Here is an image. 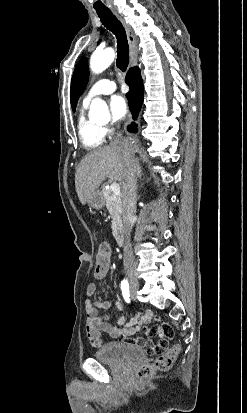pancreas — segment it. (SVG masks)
<instances>
[{
	"label": "pancreas",
	"instance_id": "cf45deb5",
	"mask_svg": "<svg viewBox=\"0 0 247 413\" xmlns=\"http://www.w3.org/2000/svg\"><path fill=\"white\" fill-rule=\"evenodd\" d=\"M102 194L106 200V207L112 215V231H118L119 227L122 225V202H121V194H114L111 188H104L102 190Z\"/></svg>",
	"mask_w": 247,
	"mask_h": 413
}]
</instances>
